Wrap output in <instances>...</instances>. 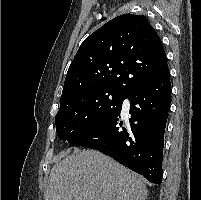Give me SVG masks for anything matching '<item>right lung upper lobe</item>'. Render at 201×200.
I'll return each mask as SVG.
<instances>
[{
  "label": "right lung upper lobe",
  "mask_w": 201,
  "mask_h": 200,
  "mask_svg": "<svg viewBox=\"0 0 201 200\" xmlns=\"http://www.w3.org/2000/svg\"><path fill=\"white\" fill-rule=\"evenodd\" d=\"M168 71L162 42L148 19L124 14L81 44L68 69L60 103L96 91L128 96Z\"/></svg>",
  "instance_id": "1"
}]
</instances>
